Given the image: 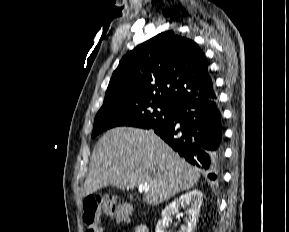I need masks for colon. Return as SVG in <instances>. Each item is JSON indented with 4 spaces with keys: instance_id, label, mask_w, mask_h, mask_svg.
<instances>
[{
    "instance_id": "obj_1",
    "label": "colon",
    "mask_w": 289,
    "mask_h": 232,
    "mask_svg": "<svg viewBox=\"0 0 289 232\" xmlns=\"http://www.w3.org/2000/svg\"><path fill=\"white\" fill-rule=\"evenodd\" d=\"M101 213L109 214L121 223L126 222L128 216L125 207L116 206L100 196H88L83 201L82 221L85 232H102L99 224Z\"/></svg>"
}]
</instances>
